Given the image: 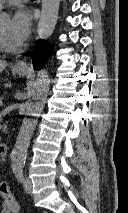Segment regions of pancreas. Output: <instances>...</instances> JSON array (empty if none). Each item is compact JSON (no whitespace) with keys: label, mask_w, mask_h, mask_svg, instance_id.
Instances as JSON below:
<instances>
[{"label":"pancreas","mask_w":128,"mask_h":213,"mask_svg":"<svg viewBox=\"0 0 128 213\" xmlns=\"http://www.w3.org/2000/svg\"><path fill=\"white\" fill-rule=\"evenodd\" d=\"M0 100H2V98L0 97ZM3 131L6 133L7 130H6V126L3 128Z\"/></svg>","instance_id":"cf45deb5"}]
</instances>
